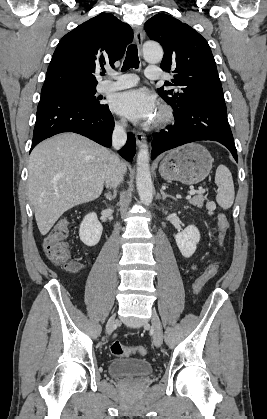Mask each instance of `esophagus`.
<instances>
[{
	"instance_id": "esophagus-1",
	"label": "esophagus",
	"mask_w": 267,
	"mask_h": 419,
	"mask_svg": "<svg viewBox=\"0 0 267 419\" xmlns=\"http://www.w3.org/2000/svg\"><path fill=\"white\" fill-rule=\"evenodd\" d=\"M135 43L138 46L139 50L141 49L143 43V31L141 27H137L134 31ZM136 143L138 146H141L145 142V134L143 132L136 133Z\"/></svg>"
}]
</instances>
